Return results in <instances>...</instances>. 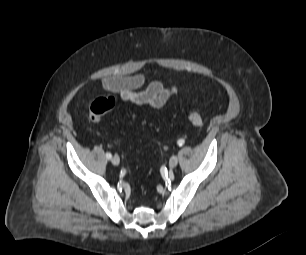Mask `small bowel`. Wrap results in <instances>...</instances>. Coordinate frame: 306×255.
<instances>
[{
    "mask_svg": "<svg viewBox=\"0 0 306 255\" xmlns=\"http://www.w3.org/2000/svg\"><path fill=\"white\" fill-rule=\"evenodd\" d=\"M146 83L143 74L131 76H109L101 81L106 92L118 93L121 101L139 106L162 108L178 91L176 86L166 87L161 81L150 82L145 89L138 90Z\"/></svg>",
    "mask_w": 306,
    "mask_h": 255,
    "instance_id": "c3829d8e",
    "label": "small bowel"
}]
</instances>
